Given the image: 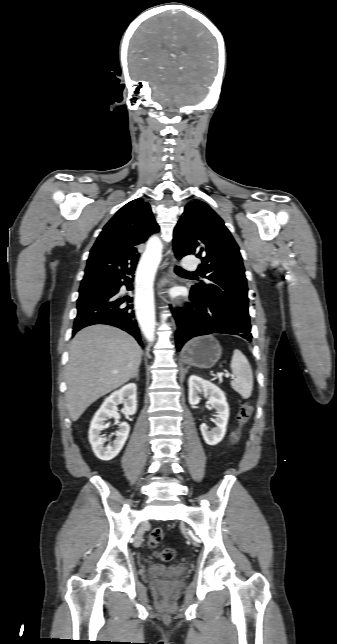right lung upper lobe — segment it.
<instances>
[{"mask_svg":"<svg viewBox=\"0 0 337 644\" xmlns=\"http://www.w3.org/2000/svg\"><path fill=\"white\" fill-rule=\"evenodd\" d=\"M149 203L135 199L123 206L105 225L90 251L82 283L112 280L135 267L137 246L157 232Z\"/></svg>","mask_w":337,"mask_h":644,"instance_id":"right-lung-upper-lobe-1","label":"right lung upper lobe"}]
</instances>
